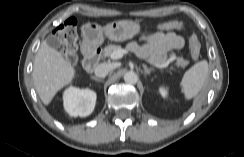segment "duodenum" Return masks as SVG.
I'll return each instance as SVG.
<instances>
[{"mask_svg":"<svg viewBox=\"0 0 244 157\" xmlns=\"http://www.w3.org/2000/svg\"><path fill=\"white\" fill-rule=\"evenodd\" d=\"M101 57V50L96 47L85 46L84 48V68L87 72H92Z\"/></svg>","mask_w":244,"mask_h":157,"instance_id":"duodenum-1","label":"duodenum"}]
</instances>
